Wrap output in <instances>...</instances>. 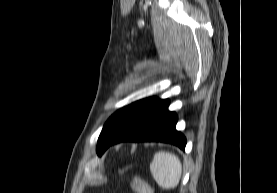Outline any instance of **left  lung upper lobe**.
Returning a JSON list of instances; mask_svg holds the SVG:
<instances>
[{"instance_id":"1","label":"left lung upper lobe","mask_w":277,"mask_h":193,"mask_svg":"<svg viewBox=\"0 0 277 193\" xmlns=\"http://www.w3.org/2000/svg\"><path fill=\"white\" fill-rule=\"evenodd\" d=\"M125 108L117 111L115 114H113L109 119L108 121L105 123L102 131H101V134L99 136V139H98V144H97V154L100 155V140L102 138V136L104 135V133L107 131V129L109 128V126L111 125V123L113 122V120L124 110Z\"/></svg>"}]
</instances>
